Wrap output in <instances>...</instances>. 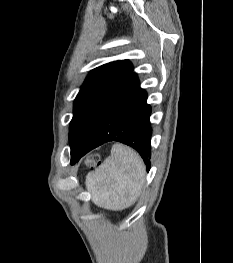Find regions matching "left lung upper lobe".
Returning <instances> with one entry per match:
<instances>
[{"label": "left lung upper lobe", "mask_w": 233, "mask_h": 263, "mask_svg": "<svg viewBox=\"0 0 233 263\" xmlns=\"http://www.w3.org/2000/svg\"><path fill=\"white\" fill-rule=\"evenodd\" d=\"M128 60H118L93 69L74 101L70 122V146H83L88 141L99 117L132 75Z\"/></svg>", "instance_id": "obj_1"}]
</instances>
